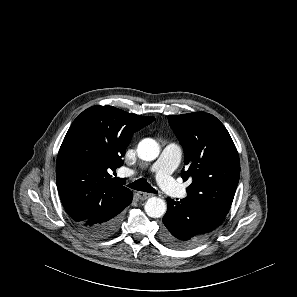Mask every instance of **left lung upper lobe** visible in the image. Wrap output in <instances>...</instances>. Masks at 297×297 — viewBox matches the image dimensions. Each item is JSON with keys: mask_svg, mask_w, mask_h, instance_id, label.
I'll use <instances>...</instances> for the list:
<instances>
[{"mask_svg": "<svg viewBox=\"0 0 297 297\" xmlns=\"http://www.w3.org/2000/svg\"><path fill=\"white\" fill-rule=\"evenodd\" d=\"M169 122L184 148L186 203L199 217L195 228L202 230L216 214H227L240 177L237 149L224 125L213 115L195 112L169 116Z\"/></svg>", "mask_w": 297, "mask_h": 297, "instance_id": "left-lung-upper-lobe-1", "label": "left lung upper lobe"}]
</instances>
